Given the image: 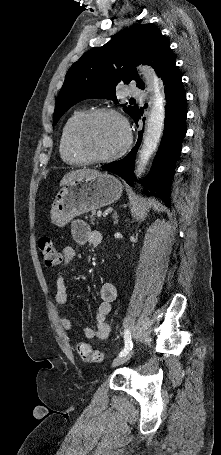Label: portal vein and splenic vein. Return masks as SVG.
I'll return each mask as SVG.
<instances>
[{
    "mask_svg": "<svg viewBox=\"0 0 221 455\" xmlns=\"http://www.w3.org/2000/svg\"><path fill=\"white\" fill-rule=\"evenodd\" d=\"M97 216H98V217H102V213H101V212H98V213H97Z\"/></svg>",
    "mask_w": 221,
    "mask_h": 455,
    "instance_id": "1",
    "label": "portal vein and splenic vein"
}]
</instances>
